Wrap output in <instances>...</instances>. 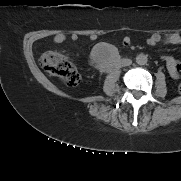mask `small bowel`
<instances>
[{"label":"small bowel","mask_w":181,"mask_h":181,"mask_svg":"<svg viewBox=\"0 0 181 181\" xmlns=\"http://www.w3.org/2000/svg\"><path fill=\"white\" fill-rule=\"evenodd\" d=\"M66 36L62 33L56 34L53 37V42L55 44H61L65 41ZM73 40H77L78 36L77 35H73L72 36ZM158 43H164V44H169V45H177V44H181V36L177 33H171V34H167V35H160L158 33L152 34L148 39H147V44L148 45H156ZM123 44L125 46H129L130 45V38L125 37L123 40ZM163 60L166 63V67L168 70L169 75L173 78V79H178L181 75V63L179 61H177L174 57L172 56H165L163 58Z\"/></svg>","instance_id":"1"}]
</instances>
